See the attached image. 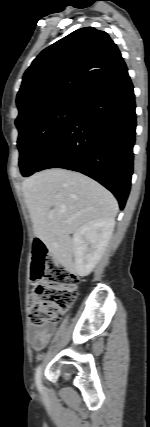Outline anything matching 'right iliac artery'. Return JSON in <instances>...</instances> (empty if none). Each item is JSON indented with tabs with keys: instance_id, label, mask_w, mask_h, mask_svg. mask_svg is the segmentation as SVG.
I'll list each match as a JSON object with an SVG mask.
<instances>
[{
	"instance_id": "obj_1",
	"label": "right iliac artery",
	"mask_w": 150,
	"mask_h": 427,
	"mask_svg": "<svg viewBox=\"0 0 150 427\" xmlns=\"http://www.w3.org/2000/svg\"><path fill=\"white\" fill-rule=\"evenodd\" d=\"M35 381H36V385H37L38 389L41 391L42 390V385H41V366H38V368L36 369Z\"/></svg>"
}]
</instances>
